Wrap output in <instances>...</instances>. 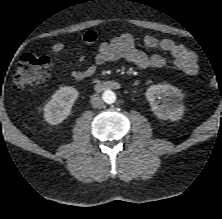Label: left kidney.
Instances as JSON below:
<instances>
[{
    "label": "left kidney",
    "mask_w": 222,
    "mask_h": 219,
    "mask_svg": "<svg viewBox=\"0 0 222 219\" xmlns=\"http://www.w3.org/2000/svg\"><path fill=\"white\" fill-rule=\"evenodd\" d=\"M145 95L154 115L160 119L176 121L184 113L181 90L170 84L150 86ZM158 97H162V104L160 105L156 100Z\"/></svg>",
    "instance_id": "5707ae66"
}]
</instances>
